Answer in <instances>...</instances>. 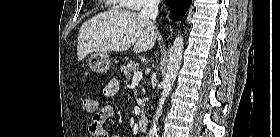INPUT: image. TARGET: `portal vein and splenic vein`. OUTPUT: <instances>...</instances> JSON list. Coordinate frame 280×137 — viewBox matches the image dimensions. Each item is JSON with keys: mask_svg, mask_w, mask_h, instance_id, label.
Wrapping results in <instances>:
<instances>
[{"mask_svg": "<svg viewBox=\"0 0 280 137\" xmlns=\"http://www.w3.org/2000/svg\"><path fill=\"white\" fill-rule=\"evenodd\" d=\"M142 77H143L142 72H140V71L134 72L132 82L133 83L138 82L142 79Z\"/></svg>", "mask_w": 280, "mask_h": 137, "instance_id": "portal-vein-and-splenic-vein-1", "label": "portal vein and splenic vein"}]
</instances>
